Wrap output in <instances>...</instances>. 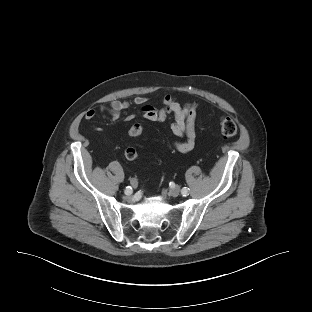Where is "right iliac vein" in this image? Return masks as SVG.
Segmentation results:
<instances>
[{
	"label": "right iliac vein",
	"instance_id": "obj_1",
	"mask_svg": "<svg viewBox=\"0 0 312 312\" xmlns=\"http://www.w3.org/2000/svg\"><path fill=\"white\" fill-rule=\"evenodd\" d=\"M131 184H132V186H133L134 188H136L137 185H138L137 180L132 179V180H131ZM127 195H130V194H127Z\"/></svg>",
	"mask_w": 312,
	"mask_h": 312
}]
</instances>
